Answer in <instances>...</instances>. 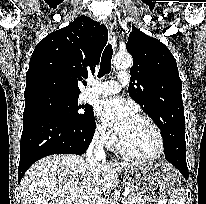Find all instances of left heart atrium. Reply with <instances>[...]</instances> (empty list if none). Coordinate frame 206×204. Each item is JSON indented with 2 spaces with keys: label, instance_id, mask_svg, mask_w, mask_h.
<instances>
[{
  "label": "left heart atrium",
  "instance_id": "obj_1",
  "mask_svg": "<svg viewBox=\"0 0 206 204\" xmlns=\"http://www.w3.org/2000/svg\"><path fill=\"white\" fill-rule=\"evenodd\" d=\"M98 116L120 136H124L135 117L132 106L123 98L114 97L102 101L97 107Z\"/></svg>",
  "mask_w": 206,
  "mask_h": 204
}]
</instances>
